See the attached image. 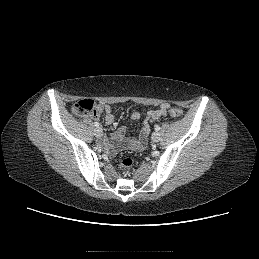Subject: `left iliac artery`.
Masks as SVG:
<instances>
[{
	"mask_svg": "<svg viewBox=\"0 0 259 259\" xmlns=\"http://www.w3.org/2000/svg\"><path fill=\"white\" fill-rule=\"evenodd\" d=\"M155 130H156V131H159V130H160V126H159V125H156V126H155Z\"/></svg>",
	"mask_w": 259,
	"mask_h": 259,
	"instance_id": "obj_1",
	"label": "left iliac artery"
}]
</instances>
